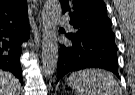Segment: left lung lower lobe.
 <instances>
[{"label":"left lung lower lobe","instance_id":"0a47b994","mask_svg":"<svg viewBox=\"0 0 135 95\" xmlns=\"http://www.w3.org/2000/svg\"><path fill=\"white\" fill-rule=\"evenodd\" d=\"M66 37L70 43L60 45L57 82L67 73L85 68H103L119 77L115 37L101 34Z\"/></svg>","mask_w":135,"mask_h":95}]
</instances>
